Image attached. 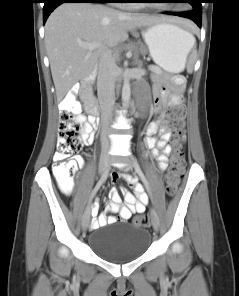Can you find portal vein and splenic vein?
<instances>
[{
  "mask_svg": "<svg viewBox=\"0 0 239 296\" xmlns=\"http://www.w3.org/2000/svg\"><path fill=\"white\" fill-rule=\"evenodd\" d=\"M80 46L87 48L89 50H94L100 46L99 43H79ZM151 71H154L153 67L149 68Z\"/></svg>",
  "mask_w": 239,
  "mask_h": 296,
  "instance_id": "1",
  "label": "portal vein and splenic vein"
}]
</instances>
